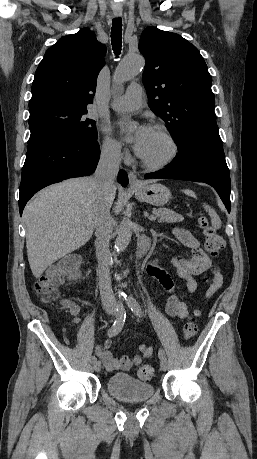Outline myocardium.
Masks as SVG:
<instances>
[{
    "instance_id": "1",
    "label": "myocardium",
    "mask_w": 257,
    "mask_h": 459,
    "mask_svg": "<svg viewBox=\"0 0 257 459\" xmlns=\"http://www.w3.org/2000/svg\"><path fill=\"white\" fill-rule=\"evenodd\" d=\"M152 128L159 131L165 137V139L169 142L170 147H171V151L169 155L165 159L159 162H150L142 158L140 155H138L141 161V164L145 168L156 171V170H162L168 167L169 165H171L178 157L180 149H179V144L177 140L175 139L173 134L164 125L154 124Z\"/></svg>"
}]
</instances>
